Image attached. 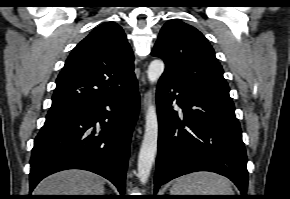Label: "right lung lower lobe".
Masks as SVG:
<instances>
[{
	"label": "right lung lower lobe",
	"instance_id": "1",
	"mask_svg": "<svg viewBox=\"0 0 290 199\" xmlns=\"http://www.w3.org/2000/svg\"><path fill=\"white\" fill-rule=\"evenodd\" d=\"M139 100L134 81L126 90L97 102L48 114L32 150L30 192L52 173L83 169L110 180L124 195Z\"/></svg>",
	"mask_w": 290,
	"mask_h": 199
}]
</instances>
